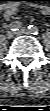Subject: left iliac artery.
Returning <instances> with one entry per match:
<instances>
[{
    "instance_id": "1",
    "label": "left iliac artery",
    "mask_w": 50,
    "mask_h": 111,
    "mask_svg": "<svg viewBox=\"0 0 50 111\" xmlns=\"http://www.w3.org/2000/svg\"><path fill=\"white\" fill-rule=\"evenodd\" d=\"M29 32H31L34 35L39 34V29L33 25L28 26Z\"/></svg>"
}]
</instances>
